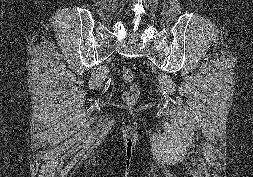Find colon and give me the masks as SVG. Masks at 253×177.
Wrapping results in <instances>:
<instances>
[{
    "mask_svg": "<svg viewBox=\"0 0 253 177\" xmlns=\"http://www.w3.org/2000/svg\"><path fill=\"white\" fill-rule=\"evenodd\" d=\"M122 77L129 84L123 93V99L126 103L133 104L140 96V89L135 83V75L131 68L124 67L122 69Z\"/></svg>",
    "mask_w": 253,
    "mask_h": 177,
    "instance_id": "1",
    "label": "colon"
}]
</instances>
